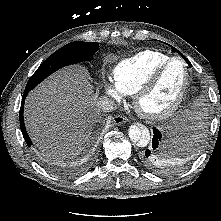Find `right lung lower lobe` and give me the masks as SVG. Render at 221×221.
I'll return each mask as SVG.
<instances>
[{"mask_svg": "<svg viewBox=\"0 0 221 221\" xmlns=\"http://www.w3.org/2000/svg\"><path fill=\"white\" fill-rule=\"evenodd\" d=\"M28 94V92H24V95L22 97V102H21V108H20V127H21V131H22V134H23V137L25 139V142L28 144V146H31L32 142L26 132V129H25V125H24V120H23V108H24V99L26 98V95Z\"/></svg>", "mask_w": 221, "mask_h": 221, "instance_id": "98d812e1", "label": "right lung lower lobe"}]
</instances>
